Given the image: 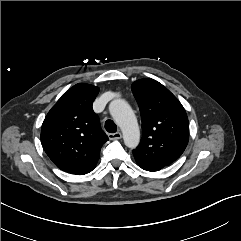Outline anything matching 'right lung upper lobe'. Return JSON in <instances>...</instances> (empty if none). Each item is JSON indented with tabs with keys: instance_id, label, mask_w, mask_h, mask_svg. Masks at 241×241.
Masks as SVG:
<instances>
[{
	"instance_id": "1",
	"label": "right lung upper lobe",
	"mask_w": 241,
	"mask_h": 241,
	"mask_svg": "<svg viewBox=\"0 0 241 241\" xmlns=\"http://www.w3.org/2000/svg\"><path fill=\"white\" fill-rule=\"evenodd\" d=\"M99 88L90 84L71 87L52 107L41 128V143L61 170L83 175L91 172L100 149L108 140L92 104Z\"/></svg>"
}]
</instances>
